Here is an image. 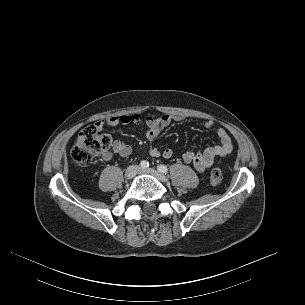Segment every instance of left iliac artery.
<instances>
[{"instance_id": "1", "label": "left iliac artery", "mask_w": 305, "mask_h": 305, "mask_svg": "<svg viewBox=\"0 0 305 305\" xmlns=\"http://www.w3.org/2000/svg\"><path fill=\"white\" fill-rule=\"evenodd\" d=\"M158 171L162 172V173H167L168 172V168L165 165H159L157 167Z\"/></svg>"}]
</instances>
